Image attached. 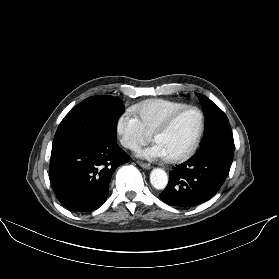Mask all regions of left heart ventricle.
<instances>
[{
    "mask_svg": "<svg viewBox=\"0 0 279 279\" xmlns=\"http://www.w3.org/2000/svg\"><path fill=\"white\" fill-rule=\"evenodd\" d=\"M198 127V113L187 110L175 119L166 133L157 136L155 142L164 148L168 157L179 155L191 145Z\"/></svg>",
    "mask_w": 279,
    "mask_h": 279,
    "instance_id": "left-heart-ventricle-1",
    "label": "left heart ventricle"
}]
</instances>
